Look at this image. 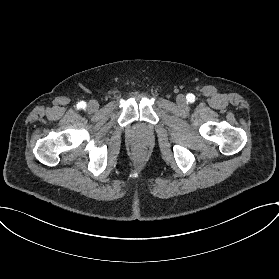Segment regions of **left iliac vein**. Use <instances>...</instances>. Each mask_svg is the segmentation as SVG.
I'll return each mask as SVG.
<instances>
[{"mask_svg":"<svg viewBox=\"0 0 279 279\" xmlns=\"http://www.w3.org/2000/svg\"><path fill=\"white\" fill-rule=\"evenodd\" d=\"M176 102L178 105L180 106H185L187 104V101H186V98L184 95L182 94H179L177 97H176Z\"/></svg>","mask_w":279,"mask_h":279,"instance_id":"4c4485c4","label":"left iliac vein"}]
</instances>
